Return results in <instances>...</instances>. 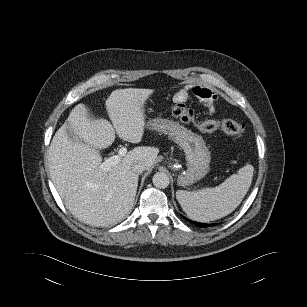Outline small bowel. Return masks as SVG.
I'll list each match as a JSON object with an SVG mask.
<instances>
[{
	"instance_id": "small-bowel-1",
	"label": "small bowel",
	"mask_w": 307,
	"mask_h": 307,
	"mask_svg": "<svg viewBox=\"0 0 307 307\" xmlns=\"http://www.w3.org/2000/svg\"><path fill=\"white\" fill-rule=\"evenodd\" d=\"M191 95L196 96L202 101L209 104H213L216 101L215 93L209 88L202 85H187L180 90L174 96V99L178 103H185L188 101Z\"/></svg>"
}]
</instances>
